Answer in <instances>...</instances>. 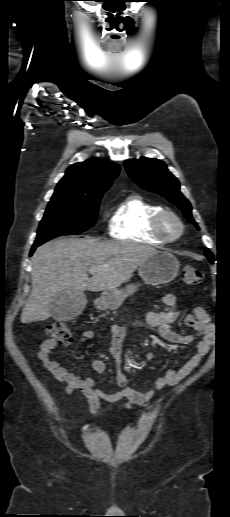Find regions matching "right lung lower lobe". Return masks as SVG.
Masks as SVG:
<instances>
[{
    "label": "right lung lower lobe",
    "mask_w": 230,
    "mask_h": 517,
    "mask_svg": "<svg viewBox=\"0 0 230 517\" xmlns=\"http://www.w3.org/2000/svg\"><path fill=\"white\" fill-rule=\"evenodd\" d=\"M39 245L37 244H34L32 249H31V252H30V256L32 255V253L34 252V250L36 249V247H38Z\"/></svg>",
    "instance_id": "1"
}]
</instances>
